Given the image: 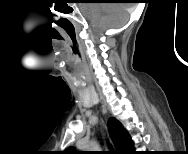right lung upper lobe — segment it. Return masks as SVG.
Returning a JSON list of instances; mask_svg holds the SVG:
<instances>
[{"label": "right lung upper lobe", "instance_id": "obj_1", "mask_svg": "<svg viewBox=\"0 0 188 154\" xmlns=\"http://www.w3.org/2000/svg\"><path fill=\"white\" fill-rule=\"evenodd\" d=\"M108 130L118 153H133V142L131 141L128 132L123 128L122 124L117 119H109ZM66 151L69 153H73L74 149L73 147H69Z\"/></svg>", "mask_w": 188, "mask_h": 154}]
</instances>
